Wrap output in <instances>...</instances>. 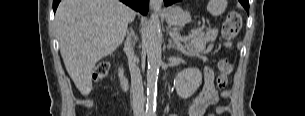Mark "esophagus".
I'll return each mask as SVG.
<instances>
[{
  "label": "esophagus",
  "instance_id": "1",
  "mask_svg": "<svg viewBox=\"0 0 305 116\" xmlns=\"http://www.w3.org/2000/svg\"><path fill=\"white\" fill-rule=\"evenodd\" d=\"M161 4H162V1L161 0H150V7L152 9H160L161 8Z\"/></svg>",
  "mask_w": 305,
  "mask_h": 116
}]
</instances>
